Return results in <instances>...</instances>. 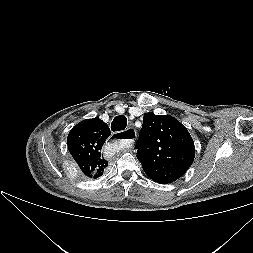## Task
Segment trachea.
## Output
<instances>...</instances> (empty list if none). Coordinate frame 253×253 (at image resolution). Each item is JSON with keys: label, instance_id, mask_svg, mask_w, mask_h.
Returning a JSON list of instances; mask_svg holds the SVG:
<instances>
[{"label": "trachea", "instance_id": "obj_1", "mask_svg": "<svg viewBox=\"0 0 253 253\" xmlns=\"http://www.w3.org/2000/svg\"><path fill=\"white\" fill-rule=\"evenodd\" d=\"M126 126H127V118L124 115L116 116L111 123L112 131L124 130ZM116 138H120V136H117Z\"/></svg>", "mask_w": 253, "mask_h": 253}]
</instances>
